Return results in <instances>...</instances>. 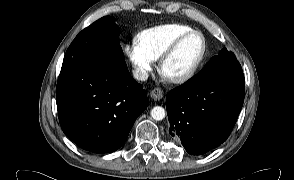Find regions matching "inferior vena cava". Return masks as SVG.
<instances>
[{
	"instance_id": "obj_1",
	"label": "inferior vena cava",
	"mask_w": 294,
	"mask_h": 180,
	"mask_svg": "<svg viewBox=\"0 0 294 180\" xmlns=\"http://www.w3.org/2000/svg\"><path fill=\"white\" fill-rule=\"evenodd\" d=\"M133 76L139 81H146L148 79V73L141 68H136L133 70Z\"/></svg>"
}]
</instances>
